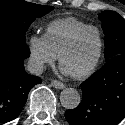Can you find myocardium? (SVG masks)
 <instances>
[{"instance_id":"1","label":"myocardium","mask_w":125,"mask_h":125,"mask_svg":"<svg viewBox=\"0 0 125 125\" xmlns=\"http://www.w3.org/2000/svg\"><path fill=\"white\" fill-rule=\"evenodd\" d=\"M87 30H94L98 34V38H99L98 52L92 64L85 71L79 74H70V76L73 77L74 79H79V80L85 79L89 77L90 75H92L94 71L96 70L100 62V59L103 53V47H104L103 35H102L101 30L98 27L93 26V25H87L83 28L78 29L71 35V37L67 40V42L62 46L57 56L60 65H62L63 56L71 49V47L74 45L75 41L80 36V34H82L83 32Z\"/></svg>"}]
</instances>
